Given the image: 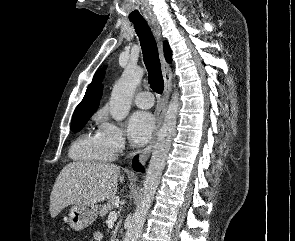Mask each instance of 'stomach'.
Wrapping results in <instances>:
<instances>
[{
	"instance_id": "stomach-1",
	"label": "stomach",
	"mask_w": 295,
	"mask_h": 241,
	"mask_svg": "<svg viewBox=\"0 0 295 241\" xmlns=\"http://www.w3.org/2000/svg\"><path fill=\"white\" fill-rule=\"evenodd\" d=\"M98 206L94 205H73L68 213V223L75 231L83 230L90 226L97 218Z\"/></svg>"
}]
</instances>
